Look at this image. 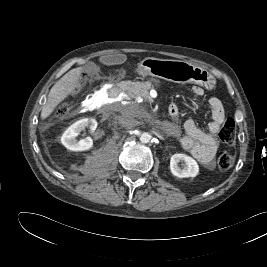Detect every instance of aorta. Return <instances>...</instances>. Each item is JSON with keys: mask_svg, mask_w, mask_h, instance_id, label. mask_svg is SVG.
Returning <instances> with one entry per match:
<instances>
[{"mask_svg": "<svg viewBox=\"0 0 267 267\" xmlns=\"http://www.w3.org/2000/svg\"><path fill=\"white\" fill-rule=\"evenodd\" d=\"M151 139H152V136H151V134L148 133V132H143V133L140 135V141H141L142 143H148V142L151 141Z\"/></svg>", "mask_w": 267, "mask_h": 267, "instance_id": "762f6f07", "label": "aorta"}]
</instances>
